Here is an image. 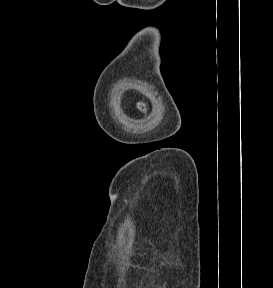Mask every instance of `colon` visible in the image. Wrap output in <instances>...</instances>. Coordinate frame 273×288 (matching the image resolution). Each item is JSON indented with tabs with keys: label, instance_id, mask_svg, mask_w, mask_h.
<instances>
[{
	"label": "colon",
	"instance_id": "1",
	"mask_svg": "<svg viewBox=\"0 0 273 288\" xmlns=\"http://www.w3.org/2000/svg\"><path fill=\"white\" fill-rule=\"evenodd\" d=\"M137 108L142 112H144L146 110V106L142 102L138 103Z\"/></svg>",
	"mask_w": 273,
	"mask_h": 288
}]
</instances>
